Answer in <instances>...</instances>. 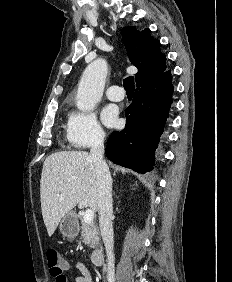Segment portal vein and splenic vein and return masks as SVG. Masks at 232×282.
<instances>
[{
    "label": "portal vein and splenic vein",
    "mask_w": 232,
    "mask_h": 282,
    "mask_svg": "<svg viewBox=\"0 0 232 282\" xmlns=\"http://www.w3.org/2000/svg\"><path fill=\"white\" fill-rule=\"evenodd\" d=\"M93 219H94V211L91 209H87L83 216L84 222L91 223L93 222Z\"/></svg>",
    "instance_id": "obj_1"
}]
</instances>
